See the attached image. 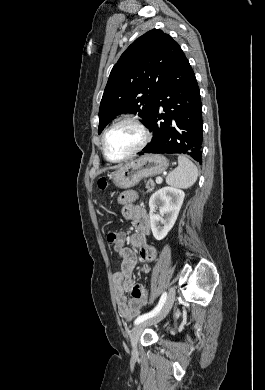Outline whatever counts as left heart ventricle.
Listing matches in <instances>:
<instances>
[{"instance_id":"1","label":"left heart ventricle","mask_w":265,"mask_h":390,"mask_svg":"<svg viewBox=\"0 0 265 390\" xmlns=\"http://www.w3.org/2000/svg\"><path fill=\"white\" fill-rule=\"evenodd\" d=\"M141 139L137 128L130 124L115 127L107 136L106 151L111 159H120L134 149Z\"/></svg>"}]
</instances>
